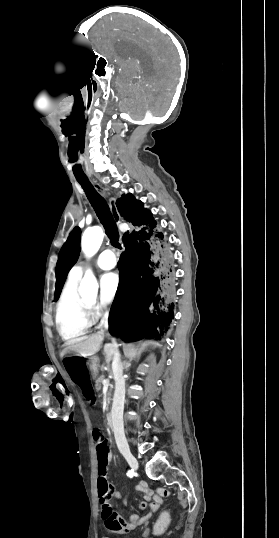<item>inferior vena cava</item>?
Masks as SVG:
<instances>
[{
	"mask_svg": "<svg viewBox=\"0 0 279 538\" xmlns=\"http://www.w3.org/2000/svg\"><path fill=\"white\" fill-rule=\"evenodd\" d=\"M104 318L106 319L103 322H101L102 326L104 324L105 328H108L107 318H108V312L105 313ZM113 346L117 347V343L115 342V338H112ZM115 353V352H114ZM120 354L119 352L115 353L114 361H113V372L115 373L114 379L116 381V390L114 394V402L112 407V424H113V431L115 434L116 443L118 445L119 450L126 458L129 455H132L129 450L128 443L125 438L124 434V428H123V408H124V398H125V379L126 377L122 376V364L120 362Z\"/></svg>",
	"mask_w": 279,
	"mask_h": 538,
	"instance_id": "1",
	"label": "inferior vena cava"
}]
</instances>
